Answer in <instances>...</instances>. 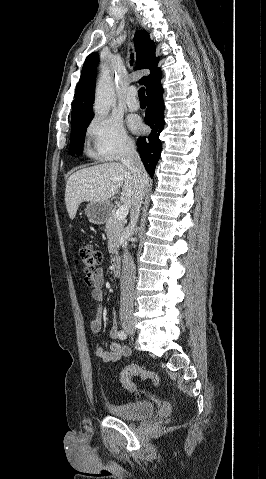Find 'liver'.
<instances>
[{"label": "liver", "instance_id": "obj_1", "mask_svg": "<svg viewBox=\"0 0 266 479\" xmlns=\"http://www.w3.org/2000/svg\"><path fill=\"white\" fill-rule=\"evenodd\" d=\"M122 188L120 201L132 209L138 197L131 171L120 163L110 162L74 172L67 180L65 204L71 219L84 202H107Z\"/></svg>", "mask_w": 266, "mask_h": 479}]
</instances>
